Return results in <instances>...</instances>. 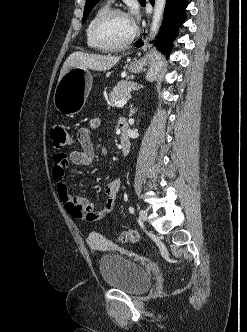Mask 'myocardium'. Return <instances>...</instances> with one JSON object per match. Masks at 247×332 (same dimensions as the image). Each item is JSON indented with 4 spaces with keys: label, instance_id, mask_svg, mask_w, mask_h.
I'll return each mask as SVG.
<instances>
[{
    "label": "myocardium",
    "instance_id": "f54148a6",
    "mask_svg": "<svg viewBox=\"0 0 247 332\" xmlns=\"http://www.w3.org/2000/svg\"><path fill=\"white\" fill-rule=\"evenodd\" d=\"M116 14H125L126 13L120 9V8H109L105 12H103L93 23L92 25V36L94 40L99 44L103 49L109 50V51H117L122 50L126 47H128L133 40L135 39L137 35V28L134 27L133 32L131 35L122 43L119 44H110L101 35V28L104 25V23L111 18L113 15Z\"/></svg>",
    "mask_w": 247,
    "mask_h": 332
}]
</instances>
